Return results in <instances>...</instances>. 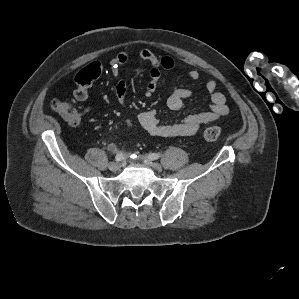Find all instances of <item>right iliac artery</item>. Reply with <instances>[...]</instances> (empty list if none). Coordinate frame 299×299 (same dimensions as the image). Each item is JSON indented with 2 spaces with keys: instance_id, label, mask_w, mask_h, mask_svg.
I'll return each mask as SVG.
<instances>
[{
  "instance_id": "right-iliac-artery-1",
  "label": "right iliac artery",
  "mask_w": 299,
  "mask_h": 299,
  "mask_svg": "<svg viewBox=\"0 0 299 299\" xmlns=\"http://www.w3.org/2000/svg\"><path fill=\"white\" fill-rule=\"evenodd\" d=\"M124 159V155L122 153H118L116 156H115V160L116 161H121Z\"/></svg>"
}]
</instances>
